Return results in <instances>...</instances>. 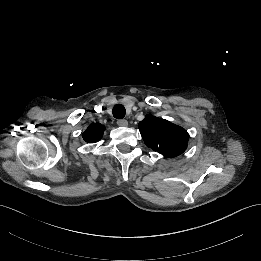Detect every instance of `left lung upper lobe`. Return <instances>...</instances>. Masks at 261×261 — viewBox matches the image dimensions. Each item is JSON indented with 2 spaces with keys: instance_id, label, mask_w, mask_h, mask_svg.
<instances>
[{
  "instance_id": "obj_1",
  "label": "left lung upper lobe",
  "mask_w": 261,
  "mask_h": 261,
  "mask_svg": "<svg viewBox=\"0 0 261 261\" xmlns=\"http://www.w3.org/2000/svg\"><path fill=\"white\" fill-rule=\"evenodd\" d=\"M138 128L145 144L166 157L178 156L187 147V131L168 120L147 115Z\"/></svg>"
}]
</instances>
